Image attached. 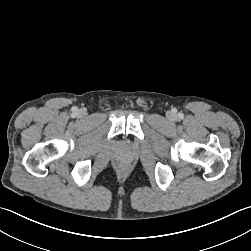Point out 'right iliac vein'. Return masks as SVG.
I'll return each mask as SVG.
<instances>
[{"mask_svg": "<svg viewBox=\"0 0 251 251\" xmlns=\"http://www.w3.org/2000/svg\"><path fill=\"white\" fill-rule=\"evenodd\" d=\"M84 114V111H80V115H83Z\"/></svg>", "mask_w": 251, "mask_h": 251, "instance_id": "obj_1", "label": "right iliac vein"}]
</instances>
